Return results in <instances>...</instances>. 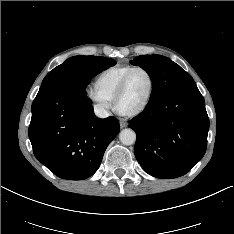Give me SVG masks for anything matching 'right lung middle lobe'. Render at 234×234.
<instances>
[{
  "instance_id": "1",
  "label": "right lung middle lobe",
  "mask_w": 234,
  "mask_h": 234,
  "mask_svg": "<svg viewBox=\"0 0 234 234\" xmlns=\"http://www.w3.org/2000/svg\"><path fill=\"white\" fill-rule=\"evenodd\" d=\"M115 63L113 59L102 56H74L50 71L42 84L68 77L73 84L85 90L93 76Z\"/></svg>"
}]
</instances>
